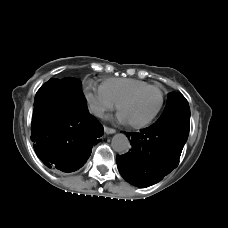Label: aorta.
I'll list each match as a JSON object with an SVG mask.
<instances>
[{"mask_svg":"<svg viewBox=\"0 0 228 228\" xmlns=\"http://www.w3.org/2000/svg\"><path fill=\"white\" fill-rule=\"evenodd\" d=\"M111 146L114 151L125 154L129 151L131 145L126 135L119 133L112 138Z\"/></svg>","mask_w":228,"mask_h":228,"instance_id":"762f6f07","label":"aorta"}]
</instances>
